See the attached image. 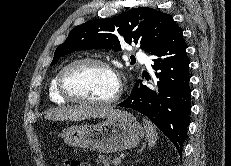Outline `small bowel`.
I'll return each mask as SVG.
<instances>
[{"instance_id":"c3829d8e","label":"small bowel","mask_w":231,"mask_h":166,"mask_svg":"<svg viewBox=\"0 0 231 166\" xmlns=\"http://www.w3.org/2000/svg\"><path fill=\"white\" fill-rule=\"evenodd\" d=\"M84 166H90L89 164H84Z\"/></svg>"}]
</instances>
